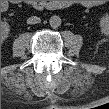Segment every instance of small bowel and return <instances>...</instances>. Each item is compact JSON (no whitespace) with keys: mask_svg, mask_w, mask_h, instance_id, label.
Returning a JSON list of instances; mask_svg holds the SVG:
<instances>
[{"mask_svg":"<svg viewBox=\"0 0 109 109\" xmlns=\"http://www.w3.org/2000/svg\"><path fill=\"white\" fill-rule=\"evenodd\" d=\"M96 5V1H88L86 2V6L88 7H92V6H95Z\"/></svg>","mask_w":109,"mask_h":109,"instance_id":"small-bowel-1","label":"small bowel"}]
</instances>
